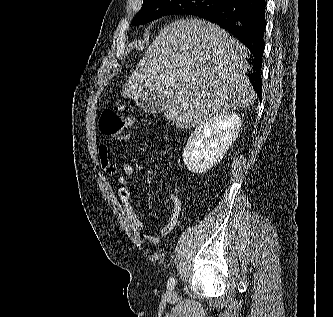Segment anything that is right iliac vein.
Listing matches in <instances>:
<instances>
[{
	"label": "right iliac vein",
	"instance_id": "63e3f726",
	"mask_svg": "<svg viewBox=\"0 0 333 317\" xmlns=\"http://www.w3.org/2000/svg\"><path fill=\"white\" fill-rule=\"evenodd\" d=\"M167 297L169 299H175L176 298V294H175L174 291L170 290V291L167 292Z\"/></svg>",
	"mask_w": 333,
	"mask_h": 317
}]
</instances>
